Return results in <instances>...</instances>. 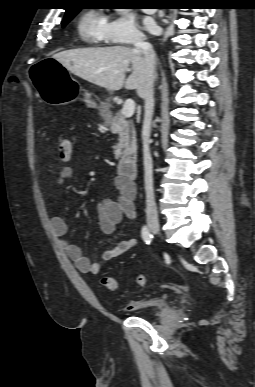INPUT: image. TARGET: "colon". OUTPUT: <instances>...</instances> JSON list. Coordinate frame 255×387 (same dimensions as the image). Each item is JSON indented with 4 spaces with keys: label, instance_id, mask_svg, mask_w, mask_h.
I'll use <instances>...</instances> for the list:
<instances>
[{
    "label": "colon",
    "instance_id": "obj_1",
    "mask_svg": "<svg viewBox=\"0 0 255 387\" xmlns=\"http://www.w3.org/2000/svg\"><path fill=\"white\" fill-rule=\"evenodd\" d=\"M57 143L60 156L67 157L73 154L74 148L71 139L66 136L60 135L58 137ZM146 282L147 278L145 275L140 274L137 275L135 278V284L139 287L145 286ZM101 284L109 291H116L118 289V281L112 276H104L101 279Z\"/></svg>",
    "mask_w": 255,
    "mask_h": 387
}]
</instances>
